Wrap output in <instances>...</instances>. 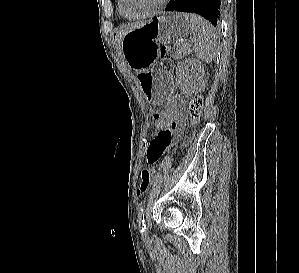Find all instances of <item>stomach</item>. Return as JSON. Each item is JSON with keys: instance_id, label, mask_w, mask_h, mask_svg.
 Instances as JSON below:
<instances>
[{"instance_id": "stomach-1", "label": "stomach", "mask_w": 299, "mask_h": 273, "mask_svg": "<svg viewBox=\"0 0 299 273\" xmlns=\"http://www.w3.org/2000/svg\"><path fill=\"white\" fill-rule=\"evenodd\" d=\"M185 15L168 13L151 19L145 26L128 32L121 41V53L144 93L145 101H169L170 74L158 69L161 43H173L187 35Z\"/></svg>"}]
</instances>
